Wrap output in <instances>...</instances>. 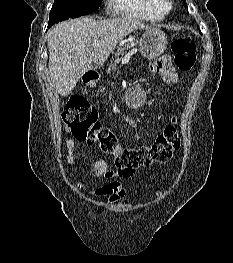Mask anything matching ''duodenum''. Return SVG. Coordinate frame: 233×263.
<instances>
[{
    "instance_id": "obj_1",
    "label": "duodenum",
    "mask_w": 233,
    "mask_h": 263,
    "mask_svg": "<svg viewBox=\"0 0 233 263\" xmlns=\"http://www.w3.org/2000/svg\"><path fill=\"white\" fill-rule=\"evenodd\" d=\"M98 78L99 75L95 70H87L83 74V80L88 84L95 83L98 80Z\"/></svg>"
}]
</instances>
